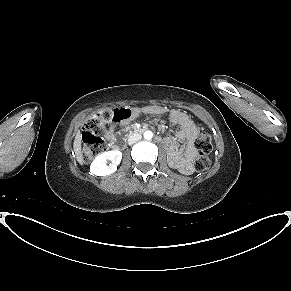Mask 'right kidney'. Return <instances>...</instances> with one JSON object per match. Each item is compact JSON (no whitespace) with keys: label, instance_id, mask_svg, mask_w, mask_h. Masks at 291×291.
<instances>
[{"label":"right kidney","instance_id":"right-kidney-1","mask_svg":"<svg viewBox=\"0 0 291 291\" xmlns=\"http://www.w3.org/2000/svg\"><path fill=\"white\" fill-rule=\"evenodd\" d=\"M122 153L119 150H113L101 153L92 162L90 172L97 176H105L114 173L117 165L120 164ZM108 161L111 163L108 164Z\"/></svg>","mask_w":291,"mask_h":291}]
</instances>
